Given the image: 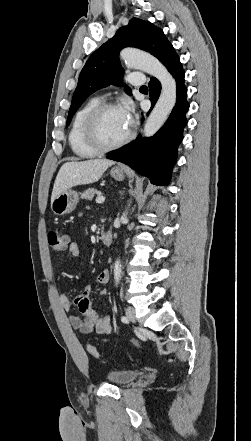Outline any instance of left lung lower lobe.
<instances>
[{
  "instance_id": "left-lung-lower-lobe-1",
  "label": "left lung lower lobe",
  "mask_w": 251,
  "mask_h": 441,
  "mask_svg": "<svg viewBox=\"0 0 251 441\" xmlns=\"http://www.w3.org/2000/svg\"><path fill=\"white\" fill-rule=\"evenodd\" d=\"M162 63L174 76L177 85V101L168 120L153 137L141 138L139 135L132 143L107 156L108 159L129 165L139 174L149 177L156 185H167L170 181L177 148L183 139V129L187 124L185 115L189 109L186 100L187 88L184 85L185 72L173 47ZM148 86L152 109L159 98L161 84L157 78L151 77Z\"/></svg>"
}]
</instances>
